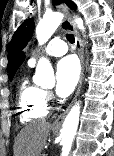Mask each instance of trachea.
Returning <instances> with one entry per match:
<instances>
[{"label": "trachea", "instance_id": "3493384b", "mask_svg": "<svg viewBox=\"0 0 114 156\" xmlns=\"http://www.w3.org/2000/svg\"><path fill=\"white\" fill-rule=\"evenodd\" d=\"M66 38L70 43H74L75 42V38L72 34H66Z\"/></svg>", "mask_w": 114, "mask_h": 156}]
</instances>
